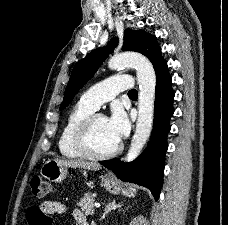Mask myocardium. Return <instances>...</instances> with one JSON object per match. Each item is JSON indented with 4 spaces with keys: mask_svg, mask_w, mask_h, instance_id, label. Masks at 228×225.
Segmentation results:
<instances>
[{
    "mask_svg": "<svg viewBox=\"0 0 228 225\" xmlns=\"http://www.w3.org/2000/svg\"><path fill=\"white\" fill-rule=\"evenodd\" d=\"M98 116L100 114L92 113L80 123L74 136V143L79 151L89 157L108 158L119 153L122 149V144L118 142L114 148L107 151H100L94 146L92 141V126Z\"/></svg>",
    "mask_w": 228,
    "mask_h": 225,
    "instance_id": "myocardium-1",
    "label": "myocardium"
}]
</instances>
